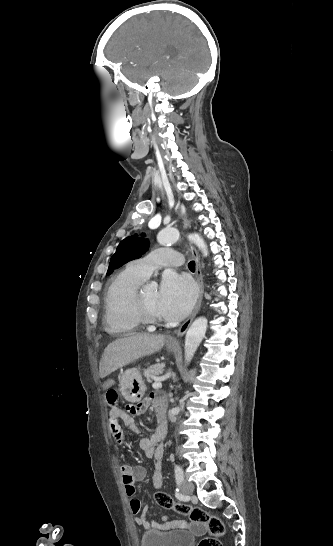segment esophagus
<instances>
[{"instance_id":"esophagus-1","label":"esophagus","mask_w":333,"mask_h":546,"mask_svg":"<svg viewBox=\"0 0 333 546\" xmlns=\"http://www.w3.org/2000/svg\"><path fill=\"white\" fill-rule=\"evenodd\" d=\"M190 249H191L192 255H193L194 259H195V263H196L195 278H196V281H197V284H198L199 295H198V300H197V303L195 305V308H194L193 312L185 320V322L179 327V329L176 331L177 337L173 336V337H171L169 339V343L175 344V345L179 344L178 337L183 336L186 333V331L189 328L190 324L192 323L193 319L197 315V313H198V311L200 309V306H201V302H202V298H203V292H204V282H203V276H202V270H201L199 254H198V251H197V249L195 248L194 245L191 244Z\"/></svg>"}]
</instances>
